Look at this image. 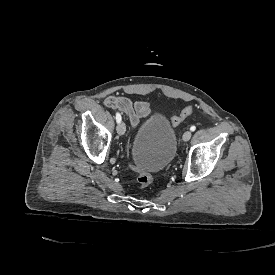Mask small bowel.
<instances>
[{
	"label": "small bowel",
	"instance_id": "small-bowel-1",
	"mask_svg": "<svg viewBox=\"0 0 275 275\" xmlns=\"http://www.w3.org/2000/svg\"><path fill=\"white\" fill-rule=\"evenodd\" d=\"M103 104L110 109L126 113L132 129H137L141 119L151 116L149 103L145 100L132 101L124 95H110L106 97Z\"/></svg>",
	"mask_w": 275,
	"mask_h": 275
}]
</instances>
